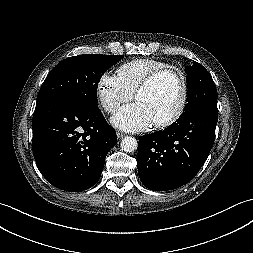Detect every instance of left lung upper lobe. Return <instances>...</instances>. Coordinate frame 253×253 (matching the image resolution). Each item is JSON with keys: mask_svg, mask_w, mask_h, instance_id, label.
Here are the masks:
<instances>
[{"mask_svg": "<svg viewBox=\"0 0 253 253\" xmlns=\"http://www.w3.org/2000/svg\"><path fill=\"white\" fill-rule=\"evenodd\" d=\"M188 103L178 118H183L199 107L217 108V90L210 73L199 63L186 66Z\"/></svg>", "mask_w": 253, "mask_h": 253, "instance_id": "left-lung-upper-lobe-1", "label": "left lung upper lobe"}]
</instances>
